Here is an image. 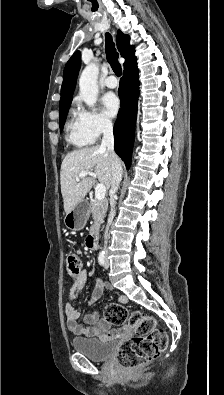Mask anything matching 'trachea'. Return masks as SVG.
Listing matches in <instances>:
<instances>
[{
    "label": "trachea",
    "mask_w": 224,
    "mask_h": 395,
    "mask_svg": "<svg viewBox=\"0 0 224 395\" xmlns=\"http://www.w3.org/2000/svg\"><path fill=\"white\" fill-rule=\"evenodd\" d=\"M105 51H106L107 60H108L109 64L111 65L114 73L117 76H121L122 68L118 62L119 54L117 53V51L114 47L112 37L109 33H106V35H105Z\"/></svg>",
    "instance_id": "1"
}]
</instances>
